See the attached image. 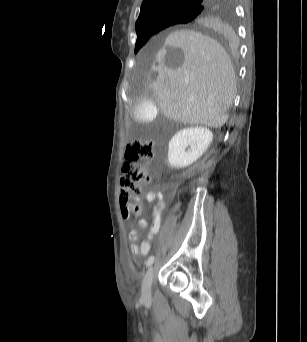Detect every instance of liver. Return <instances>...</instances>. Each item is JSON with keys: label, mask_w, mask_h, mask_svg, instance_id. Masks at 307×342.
Wrapping results in <instances>:
<instances>
[{"label": "liver", "mask_w": 307, "mask_h": 342, "mask_svg": "<svg viewBox=\"0 0 307 342\" xmlns=\"http://www.w3.org/2000/svg\"><path fill=\"white\" fill-rule=\"evenodd\" d=\"M150 74L163 116L183 122L221 128L236 94L235 72L224 48L200 32H172L158 45Z\"/></svg>", "instance_id": "obj_1"}]
</instances>
